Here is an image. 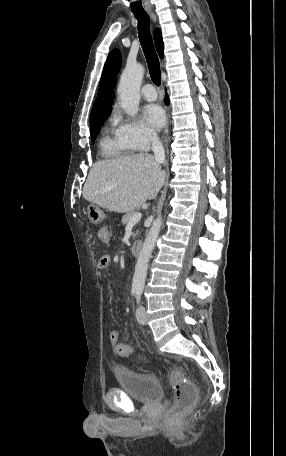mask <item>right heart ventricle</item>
<instances>
[{
	"label": "right heart ventricle",
	"mask_w": 286,
	"mask_h": 456,
	"mask_svg": "<svg viewBox=\"0 0 286 456\" xmlns=\"http://www.w3.org/2000/svg\"><path fill=\"white\" fill-rule=\"evenodd\" d=\"M102 155L107 158H122L129 155L134 149L126 142L120 128L115 124L108 126L100 142Z\"/></svg>",
	"instance_id": "right-heart-ventricle-1"
}]
</instances>
